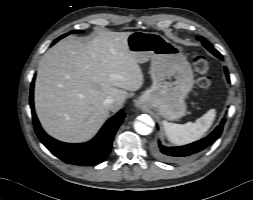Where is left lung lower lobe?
Here are the masks:
<instances>
[{"label": "left lung lower lobe", "instance_id": "obj_1", "mask_svg": "<svg viewBox=\"0 0 253 200\" xmlns=\"http://www.w3.org/2000/svg\"><path fill=\"white\" fill-rule=\"evenodd\" d=\"M225 73H226L227 80L229 82L230 79H229L227 68H225ZM224 123H225V118L221 121V124L207 137L185 146L166 147L159 143V146L156 149V154L159 158L163 160L180 161V160L191 158L195 156L196 154H198L199 152L206 149L216 139H218V137L222 133Z\"/></svg>", "mask_w": 253, "mask_h": 200}]
</instances>
